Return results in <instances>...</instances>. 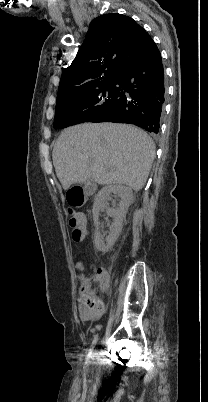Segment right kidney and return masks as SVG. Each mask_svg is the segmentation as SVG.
<instances>
[{"label":"right kidney","instance_id":"1","mask_svg":"<svg viewBox=\"0 0 208 402\" xmlns=\"http://www.w3.org/2000/svg\"><path fill=\"white\" fill-rule=\"evenodd\" d=\"M114 194V196H112ZM112 198H121L118 208L116 210H112V208H108V200H112ZM133 194L131 188H127V186H122V184H111V186H104L98 194L95 196V202L93 206V220L95 226V234H94V244L99 250V252H108L112 246H114L123 226V220L126 216V212L132 204ZM106 210L107 216H111L113 218V226H110V236H107L106 242L108 244H104L101 240V234L99 232V212H104Z\"/></svg>","mask_w":208,"mask_h":402}]
</instances>
